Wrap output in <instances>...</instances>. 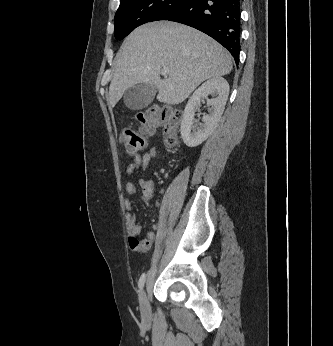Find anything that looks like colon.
I'll return each instance as SVG.
<instances>
[{
	"label": "colon",
	"instance_id": "5ec220e1",
	"mask_svg": "<svg viewBox=\"0 0 333 346\" xmlns=\"http://www.w3.org/2000/svg\"><path fill=\"white\" fill-rule=\"evenodd\" d=\"M183 112L175 107L154 105L136 115L140 124L139 130L125 128L120 133V140L125 153L134 155L146 145V137L162 129L165 145L169 148L175 146L178 126Z\"/></svg>",
	"mask_w": 333,
	"mask_h": 346
}]
</instances>
